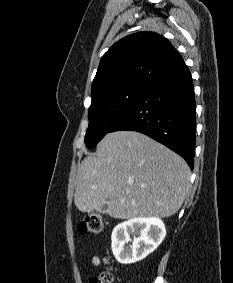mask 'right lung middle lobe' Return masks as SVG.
I'll return each mask as SVG.
<instances>
[{"label":"right lung middle lobe","instance_id":"1","mask_svg":"<svg viewBox=\"0 0 233 283\" xmlns=\"http://www.w3.org/2000/svg\"><path fill=\"white\" fill-rule=\"evenodd\" d=\"M149 82L133 81L98 93L88 111L85 143L93 148L131 108Z\"/></svg>","mask_w":233,"mask_h":283}]
</instances>
